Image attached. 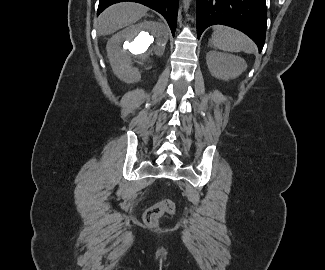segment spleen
<instances>
[{
  "label": "spleen",
  "mask_w": 325,
  "mask_h": 270,
  "mask_svg": "<svg viewBox=\"0 0 325 270\" xmlns=\"http://www.w3.org/2000/svg\"><path fill=\"white\" fill-rule=\"evenodd\" d=\"M211 43L226 52L254 53L253 42L243 33L226 26H218L212 34Z\"/></svg>",
  "instance_id": "obj_1"
}]
</instances>
